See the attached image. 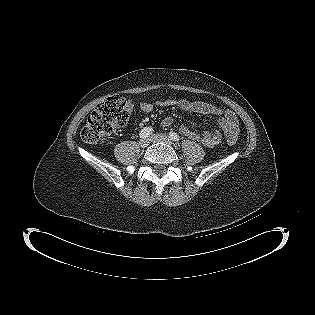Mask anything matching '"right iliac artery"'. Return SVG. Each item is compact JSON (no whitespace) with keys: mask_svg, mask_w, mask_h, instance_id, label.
<instances>
[{"mask_svg":"<svg viewBox=\"0 0 315 315\" xmlns=\"http://www.w3.org/2000/svg\"><path fill=\"white\" fill-rule=\"evenodd\" d=\"M152 132H153V129L151 127H145L139 133L140 138L145 139L149 137L152 134Z\"/></svg>","mask_w":315,"mask_h":315,"instance_id":"right-iliac-artery-1","label":"right iliac artery"}]
</instances>
